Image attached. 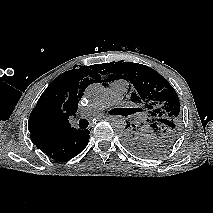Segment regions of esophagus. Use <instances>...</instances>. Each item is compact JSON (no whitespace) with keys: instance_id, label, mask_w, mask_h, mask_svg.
I'll list each match as a JSON object with an SVG mask.
<instances>
[{"instance_id":"34e87169","label":"esophagus","mask_w":213,"mask_h":213,"mask_svg":"<svg viewBox=\"0 0 213 213\" xmlns=\"http://www.w3.org/2000/svg\"><path fill=\"white\" fill-rule=\"evenodd\" d=\"M104 118H108V117L106 115H100V116L97 117L98 120L104 119Z\"/></svg>"}]
</instances>
